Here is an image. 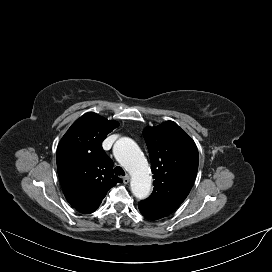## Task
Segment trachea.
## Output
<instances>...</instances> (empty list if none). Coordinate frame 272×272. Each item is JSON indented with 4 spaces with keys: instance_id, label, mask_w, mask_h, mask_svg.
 Instances as JSON below:
<instances>
[{
    "instance_id": "3493384b",
    "label": "trachea",
    "mask_w": 272,
    "mask_h": 272,
    "mask_svg": "<svg viewBox=\"0 0 272 272\" xmlns=\"http://www.w3.org/2000/svg\"><path fill=\"white\" fill-rule=\"evenodd\" d=\"M114 173L118 176H125V171L120 166L114 168Z\"/></svg>"
}]
</instances>
